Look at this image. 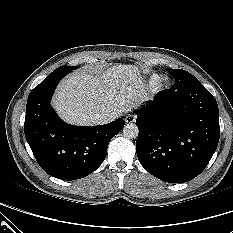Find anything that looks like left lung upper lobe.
Returning a JSON list of instances; mask_svg holds the SVG:
<instances>
[{"label": "left lung upper lobe", "mask_w": 233, "mask_h": 233, "mask_svg": "<svg viewBox=\"0 0 233 233\" xmlns=\"http://www.w3.org/2000/svg\"><path fill=\"white\" fill-rule=\"evenodd\" d=\"M167 71L174 77L177 89L188 85L201 84L195 76L185 70L167 68Z\"/></svg>", "instance_id": "5c2ea615"}]
</instances>
